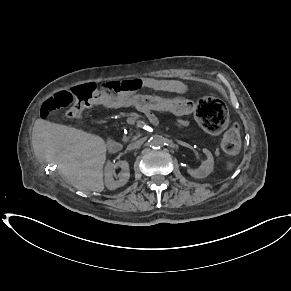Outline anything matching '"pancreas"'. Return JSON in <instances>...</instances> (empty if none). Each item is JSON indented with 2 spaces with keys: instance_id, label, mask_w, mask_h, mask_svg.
I'll list each match as a JSON object with an SVG mask.
<instances>
[{
  "instance_id": "1",
  "label": "pancreas",
  "mask_w": 291,
  "mask_h": 291,
  "mask_svg": "<svg viewBox=\"0 0 291 291\" xmlns=\"http://www.w3.org/2000/svg\"><path fill=\"white\" fill-rule=\"evenodd\" d=\"M123 140H124V141H127V140H128V137H124Z\"/></svg>"
}]
</instances>
